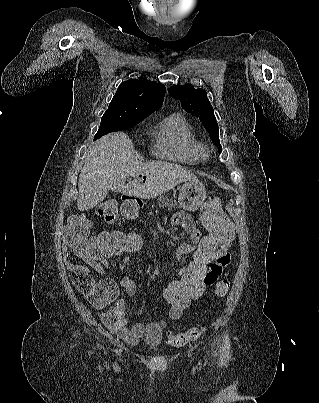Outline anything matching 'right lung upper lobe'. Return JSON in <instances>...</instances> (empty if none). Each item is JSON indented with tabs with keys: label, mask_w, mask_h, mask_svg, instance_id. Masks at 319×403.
Wrapping results in <instances>:
<instances>
[{
	"label": "right lung upper lobe",
	"mask_w": 319,
	"mask_h": 403,
	"mask_svg": "<svg viewBox=\"0 0 319 403\" xmlns=\"http://www.w3.org/2000/svg\"><path fill=\"white\" fill-rule=\"evenodd\" d=\"M165 86L144 78L122 82L114 95L110 108H121L128 112L148 116L163 104Z\"/></svg>",
	"instance_id": "right-lung-upper-lobe-1"
}]
</instances>
